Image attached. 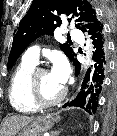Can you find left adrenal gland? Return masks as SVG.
Instances as JSON below:
<instances>
[{
  "label": "left adrenal gland",
  "mask_w": 117,
  "mask_h": 136,
  "mask_svg": "<svg viewBox=\"0 0 117 136\" xmlns=\"http://www.w3.org/2000/svg\"><path fill=\"white\" fill-rule=\"evenodd\" d=\"M59 133H60V131H57V130L52 131V132H51V136H58Z\"/></svg>",
  "instance_id": "1"
}]
</instances>
